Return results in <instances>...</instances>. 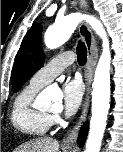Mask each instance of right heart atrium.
Here are the masks:
<instances>
[{"label":"right heart atrium","mask_w":123,"mask_h":152,"mask_svg":"<svg viewBox=\"0 0 123 152\" xmlns=\"http://www.w3.org/2000/svg\"><path fill=\"white\" fill-rule=\"evenodd\" d=\"M59 121V117L57 115L51 116V122L52 124H55Z\"/></svg>","instance_id":"obj_1"}]
</instances>
